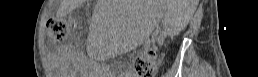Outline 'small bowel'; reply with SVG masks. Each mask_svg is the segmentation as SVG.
Returning <instances> with one entry per match:
<instances>
[{
    "instance_id": "1",
    "label": "small bowel",
    "mask_w": 258,
    "mask_h": 77,
    "mask_svg": "<svg viewBox=\"0 0 258 77\" xmlns=\"http://www.w3.org/2000/svg\"><path fill=\"white\" fill-rule=\"evenodd\" d=\"M162 42V40H159V43H161Z\"/></svg>"
}]
</instances>
